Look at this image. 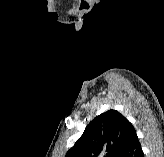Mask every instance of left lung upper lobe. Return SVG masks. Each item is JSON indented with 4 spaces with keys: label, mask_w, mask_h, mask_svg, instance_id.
<instances>
[{
    "label": "left lung upper lobe",
    "mask_w": 164,
    "mask_h": 157,
    "mask_svg": "<svg viewBox=\"0 0 164 157\" xmlns=\"http://www.w3.org/2000/svg\"><path fill=\"white\" fill-rule=\"evenodd\" d=\"M136 131L116 110L98 115L65 157H119Z\"/></svg>",
    "instance_id": "obj_1"
}]
</instances>
